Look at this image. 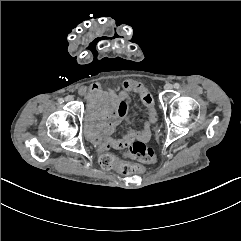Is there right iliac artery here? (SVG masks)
I'll list each match as a JSON object with an SVG mask.
<instances>
[{"label": "right iliac artery", "instance_id": "82829eb1", "mask_svg": "<svg viewBox=\"0 0 241 241\" xmlns=\"http://www.w3.org/2000/svg\"><path fill=\"white\" fill-rule=\"evenodd\" d=\"M58 102H59L60 104H62V103L64 102V100H63L62 98H59V99H58Z\"/></svg>", "mask_w": 241, "mask_h": 241}]
</instances>
